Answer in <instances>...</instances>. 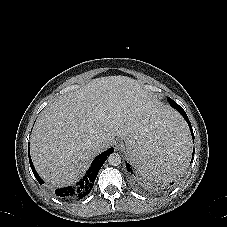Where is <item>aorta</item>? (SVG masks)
<instances>
[{
  "instance_id": "aorta-1",
  "label": "aorta",
  "mask_w": 227,
  "mask_h": 227,
  "mask_svg": "<svg viewBox=\"0 0 227 227\" xmlns=\"http://www.w3.org/2000/svg\"><path fill=\"white\" fill-rule=\"evenodd\" d=\"M108 162L112 166H118L121 163V156L118 153H112L108 157Z\"/></svg>"
}]
</instances>
